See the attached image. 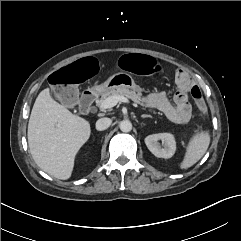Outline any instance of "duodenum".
I'll return each mask as SVG.
<instances>
[{
    "label": "duodenum",
    "mask_w": 241,
    "mask_h": 241,
    "mask_svg": "<svg viewBox=\"0 0 241 241\" xmlns=\"http://www.w3.org/2000/svg\"><path fill=\"white\" fill-rule=\"evenodd\" d=\"M97 97V92L94 89H88L84 91L80 98V109L84 113H88L91 111L94 102Z\"/></svg>",
    "instance_id": "1"
}]
</instances>
